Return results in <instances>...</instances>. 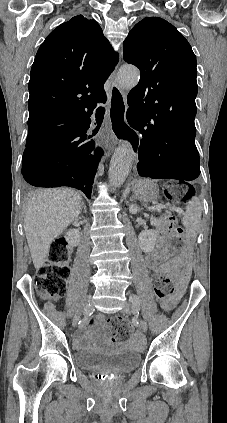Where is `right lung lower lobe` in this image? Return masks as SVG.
Returning <instances> with one entry per match:
<instances>
[{
  "label": "right lung lower lobe",
  "mask_w": 227,
  "mask_h": 423,
  "mask_svg": "<svg viewBox=\"0 0 227 423\" xmlns=\"http://www.w3.org/2000/svg\"><path fill=\"white\" fill-rule=\"evenodd\" d=\"M94 108L90 105H47L29 110V120L33 121L56 116L72 119V124L60 133L24 150L22 174L30 185L73 187L91 198L94 176L102 155V151L85 134Z\"/></svg>",
  "instance_id": "1"
}]
</instances>
